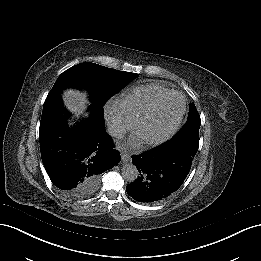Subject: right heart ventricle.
I'll return each mask as SVG.
<instances>
[{
	"instance_id": "e07e8e85",
	"label": "right heart ventricle",
	"mask_w": 261,
	"mask_h": 261,
	"mask_svg": "<svg viewBox=\"0 0 261 261\" xmlns=\"http://www.w3.org/2000/svg\"><path fill=\"white\" fill-rule=\"evenodd\" d=\"M174 90L161 84L150 83L138 86L117 100V107L128 118L144 115L170 96Z\"/></svg>"
}]
</instances>
